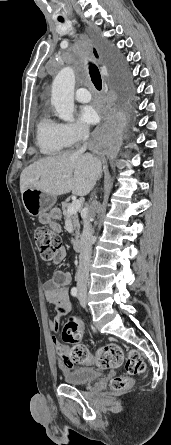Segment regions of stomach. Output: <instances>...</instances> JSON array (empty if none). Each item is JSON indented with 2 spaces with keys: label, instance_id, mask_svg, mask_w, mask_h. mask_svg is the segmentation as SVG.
Returning <instances> with one entry per match:
<instances>
[{
  "label": "stomach",
  "instance_id": "obj_1",
  "mask_svg": "<svg viewBox=\"0 0 171 445\" xmlns=\"http://www.w3.org/2000/svg\"><path fill=\"white\" fill-rule=\"evenodd\" d=\"M56 196L46 194L35 188H27L22 193V202L27 213L31 216H39L51 210L56 203ZM51 218L58 219L59 211L54 209Z\"/></svg>",
  "mask_w": 171,
  "mask_h": 445
}]
</instances>
